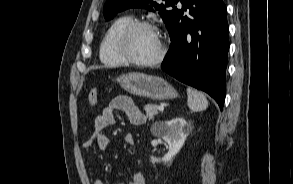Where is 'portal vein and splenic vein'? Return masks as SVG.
<instances>
[{
  "mask_svg": "<svg viewBox=\"0 0 293 184\" xmlns=\"http://www.w3.org/2000/svg\"><path fill=\"white\" fill-rule=\"evenodd\" d=\"M158 110H159V111H163V110H164V107H163V106H159V107H158Z\"/></svg>",
  "mask_w": 293,
  "mask_h": 184,
  "instance_id": "portal-vein-and-splenic-vein-1",
  "label": "portal vein and splenic vein"
}]
</instances>
